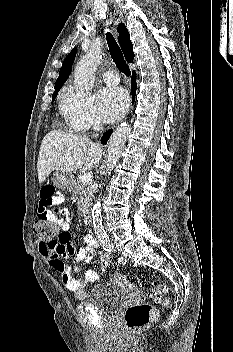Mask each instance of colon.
<instances>
[{"label":"colon","mask_w":233,"mask_h":352,"mask_svg":"<svg viewBox=\"0 0 233 352\" xmlns=\"http://www.w3.org/2000/svg\"><path fill=\"white\" fill-rule=\"evenodd\" d=\"M34 233L41 241H50L57 237L58 230L55 225L47 219H38L33 226ZM98 266L107 268L109 266V259L102 256L99 259ZM149 296L152 299L151 303H140L132 305L125 311V323L130 330H139L144 326L154 321L157 317V304L163 307L170 305V300L164 297L166 286L157 282H152L149 288ZM75 297L79 300H84L87 297V291L84 287H78L75 291Z\"/></svg>","instance_id":"obj_1"}]
</instances>
